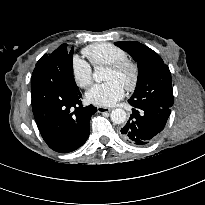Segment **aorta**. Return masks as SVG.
Listing matches in <instances>:
<instances>
[{"instance_id": "762f6f07", "label": "aorta", "mask_w": 205, "mask_h": 205, "mask_svg": "<svg viewBox=\"0 0 205 205\" xmlns=\"http://www.w3.org/2000/svg\"><path fill=\"white\" fill-rule=\"evenodd\" d=\"M102 72H103V69L100 67L95 69L92 75L94 81L101 82L104 79ZM110 116L114 124H122L125 122L127 114L125 110L121 108H117V109L112 110Z\"/></svg>"}]
</instances>
